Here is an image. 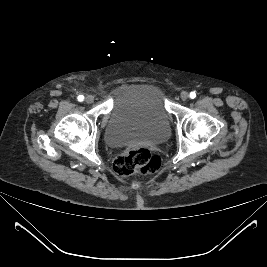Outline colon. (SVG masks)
Returning a JSON list of instances; mask_svg holds the SVG:
<instances>
[{
    "label": "colon",
    "mask_w": 267,
    "mask_h": 267,
    "mask_svg": "<svg viewBox=\"0 0 267 267\" xmlns=\"http://www.w3.org/2000/svg\"><path fill=\"white\" fill-rule=\"evenodd\" d=\"M160 166L161 158L146 147L131 148L113 163L114 172L120 177L155 173Z\"/></svg>",
    "instance_id": "colon-1"
}]
</instances>
